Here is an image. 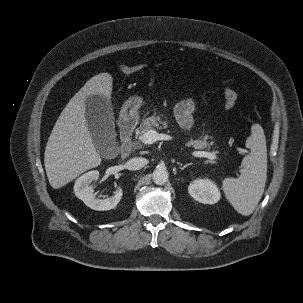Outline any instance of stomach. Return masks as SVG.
<instances>
[{
	"instance_id": "1",
	"label": "stomach",
	"mask_w": 303,
	"mask_h": 303,
	"mask_svg": "<svg viewBox=\"0 0 303 303\" xmlns=\"http://www.w3.org/2000/svg\"><path fill=\"white\" fill-rule=\"evenodd\" d=\"M143 103L140 96H133L129 98L122 108V114L125 118H135L138 115V110Z\"/></svg>"
}]
</instances>
